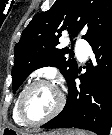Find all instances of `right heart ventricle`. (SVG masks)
Returning a JSON list of instances; mask_svg holds the SVG:
<instances>
[{"mask_svg":"<svg viewBox=\"0 0 112 135\" xmlns=\"http://www.w3.org/2000/svg\"><path fill=\"white\" fill-rule=\"evenodd\" d=\"M23 91V90H22ZM22 91L18 94V96L16 97L12 109H11V115H12V119L14 121V123L20 127H28L29 124L25 123L19 116L18 114V101H19V97L22 93Z\"/></svg>","mask_w":112,"mask_h":135,"instance_id":"1","label":"right heart ventricle"}]
</instances>
